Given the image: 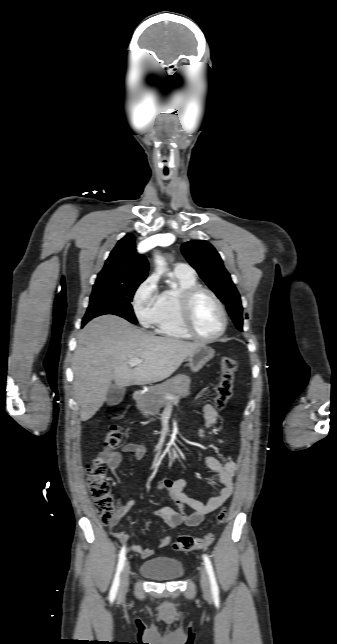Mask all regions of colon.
Listing matches in <instances>:
<instances>
[{"label": "colon", "instance_id": "1", "mask_svg": "<svg viewBox=\"0 0 337 644\" xmlns=\"http://www.w3.org/2000/svg\"><path fill=\"white\" fill-rule=\"evenodd\" d=\"M220 378L213 397V407L223 409L232 396L234 377L237 369L235 360L223 357L219 362ZM122 441V429L112 423L105 437V446L115 450L120 447ZM87 484L94 502L96 513L103 524H110L115 519V502L111 487L106 479V467L100 459L94 460L87 468ZM227 512L221 509L217 516V524L226 521ZM213 541V534L209 533L201 537L182 535L174 543V549L179 552H188L208 547Z\"/></svg>", "mask_w": 337, "mask_h": 644}]
</instances>
